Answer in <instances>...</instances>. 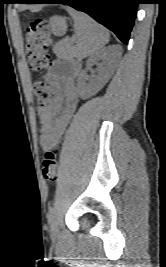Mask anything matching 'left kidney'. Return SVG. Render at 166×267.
Wrapping results in <instances>:
<instances>
[{"mask_svg": "<svg viewBox=\"0 0 166 267\" xmlns=\"http://www.w3.org/2000/svg\"><path fill=\"white\" fill-rule=\"evenodd\" d=\"M99 59H104L105 64L104 66H99V74L91 83L87 84L85 82L87 77L85 72H82L78 78V90L81 98L83 99H88L98 93L104 87L111 76L112 68L110 62L108 61L107 49L99 51L92 55L87 64H97V61Z\"/></svg>", "mask_w": 166, "mask_h": 267, "instance_id": "left-kidney-1", "label": "left kidney"}]
</instances>
